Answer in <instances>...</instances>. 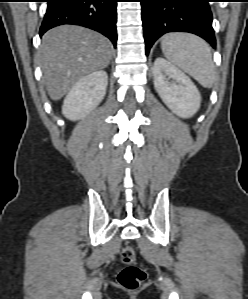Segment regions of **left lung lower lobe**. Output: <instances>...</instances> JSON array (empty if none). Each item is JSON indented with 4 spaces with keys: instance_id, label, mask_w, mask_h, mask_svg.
<instances>
[{
    "instance_id": "0a47b994",
    "label": "left lung lower lobe",
    "mask_w": 248,
    "mask_h": 299,
    "mask_svg": "<svg viewBox=\"0 0 248 299\" xmlns=\"http://www.w3.org/2000/svg\"><path fill=\"white\" fill-rule=\"evenodd\" d=\"M140 2L147 55L160 36L176 31L196 34L215 47L209 0H141Z\"/></svg>"
}]
</instances>
